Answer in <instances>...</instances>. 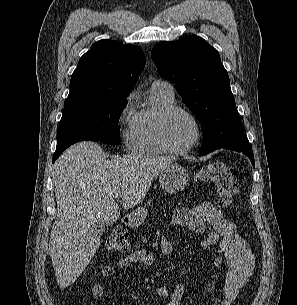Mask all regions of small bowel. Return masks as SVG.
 <instances>
[{
  "label": "small bowel",
  "instance_id": "obj_1",
  "mask_svg": "<svg viewBox=\"0 0 297 305\" xmlns=\"http://www.w3.org/2000/svg\"><path fill=\"white\" fill-rule=\"evenodd\" d=\"M170 223L187 227L190 230L201 233L207 227L213 230L201 242L202 248L217 246L216 256L213 260L215 267L226 264L227 272L221 287L220 297L214 305H233L239 290L249 280L254 266V257L246 241L238 234L236 225L223 217L221 211L210 203H197L192 207L177 208L171 211ZM160 248L163 254H171L175 251L173 244L166 238L160 240ZM153 255L147 250H137L113 266L104 270V276L114 275L131 264L140 263L151 265ZM159 297L167 298V305H180L184 296V287L180 284L172 291L165 287L155 290ZM94 299H100L104 295V285L98 282L91 290ZM90 305H95L94 303Z\"/></svg>",
  "mask_w": 297,
  "mask_h": 305
}]
</instances>
